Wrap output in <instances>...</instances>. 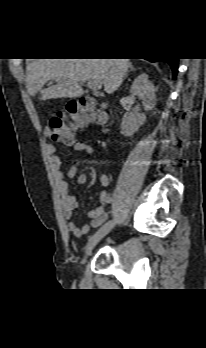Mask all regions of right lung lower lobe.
I'll return each instance as SVG.
<instances>
[{
	"label": "right lung lower lobe",
	"mask_w": 206,
	"mask_h": 348,
	"mask_svg": "<svg viewBox=\"0 0 206 348\" xmlns=\"http://www.w3.org/2000/svg\"><path fill=\"white\" fill-rule=\"evenodd\" d=\"M160 60H163L169 63L173 71V79H175L177 75V71H178V58H167V59H160ZM150 61L155 62L159 60L157 59V60H150Z\"/></svg>",
	"instance_id": "right-lung-lower-lobe-1"
}]
</instances>
